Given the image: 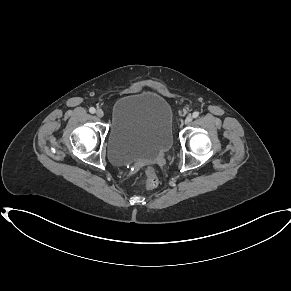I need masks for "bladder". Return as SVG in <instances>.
Wrapping results in <instances>:
<instances>
[{"label": "bladder", "instance_id": "bladder-1", "mask_svg": "<svg viewBox=\"0 0 291 291\" xmlns=\"http://www.w3.org/2000/svg\"><path fill=\"white\" fill-rule=\"evenodd\" d=\"M173 111L163 96L140 91L119 97L110 114L108 158L115 166L154 159L173 144Z\"/></svg>", "mask_w": 291, "mask_h": 291}]
</instances>
